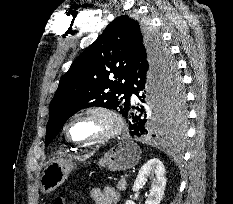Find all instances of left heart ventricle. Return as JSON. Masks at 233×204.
<instances>
[{
	"mask_svg": "<svg viewBox=\"0 0 233 204\" xmlns=\"http://www.w3.org/2000/svg\"><path fill=\"white\" fill-rule=\"evenodd\" d=\"M110 128L108 120L101 116H85L76 119L69 128L71 137L75 140H93L105 134Z\"/></svg>",
	"mask_w": 233,
	"mask_h": 204,
	"instance_id": "obj_1",
	"label": "left heart ventricle"
}]
</instances>
